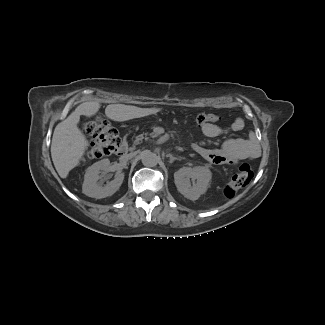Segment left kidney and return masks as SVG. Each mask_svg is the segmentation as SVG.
<instances>
[{"mask_svg":"<svg viewBox=\"0 0 325 325\" xmlns=\"http://www.w3.org/2000/svg\"><path fill=\"white\" fill-rule=\"evenodd\" d=\"M211 178L212 173L206 166L182 167L174 173L177 190L192 201L207 191Z\"/></svg>","mask_w":325,"mask_h":325,"instance_id":"5707ae66","label":"left kidney"}]
</instances>
